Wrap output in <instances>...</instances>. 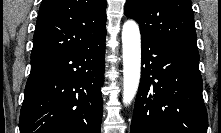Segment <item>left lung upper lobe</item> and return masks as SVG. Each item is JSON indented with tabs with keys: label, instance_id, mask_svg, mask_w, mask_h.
<instances>
[{
	"label": "left lung upper lobe",
	"instance_id": "left-lung-upper-lobe-1",
	"mask_svg": "<svg viewBox=\"0 0 221 133\" xmlns=\"http://www.w3.org/2000/svg\"><path fill=\"white\" fill-rule=\"evenodd\" d=\"M124 13L138 22L141 37L158 38L197 49L190 0H127Z\"/></svg>",
	"mask_w": 221,
	"mask_h": 133
}]
</instances>
